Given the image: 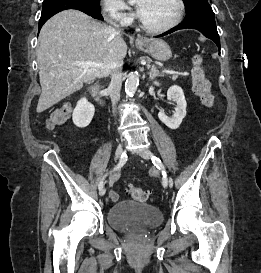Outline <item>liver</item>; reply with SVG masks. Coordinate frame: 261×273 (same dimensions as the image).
Returning <instances> with one entry per match:
<instances>
[{"mask_svg":"<svg viewBox=\"0 0 261 273\" xmlns=\"http://www.w3.org/2000/svg\"><path fill=\"white\" fill-rule=\"evenodd\" d=\"M37 62L41 94L37 112L41 113L80 90L123 61L127 45L119 30L104 25L85 13L69 9L51 17L39 34ZM77 61L103 64L101 68L77 66Z\"/></svg>","mask_w":261,"mask_h":273,"instance_id":"6515ba94","label":"liver"}]
</instances>
